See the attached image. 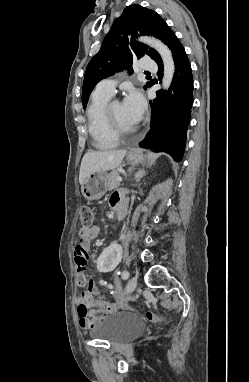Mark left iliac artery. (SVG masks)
I'll return each mask as SVG.
<instances>
[{
	"mask_svg": "<svg viewBox=\"0 0 249 382\" xmlns=\"http://www.w3.org/2000/svg\"><path fill=\"white\" fill-rule=\"evenodd\" d=\"M129 278V272L128 271H123L122 272V279H124V280H126V279H128Z\"/></svg>",
	"mask_w": 249,
	"mask_h": 382,
	"instance_id": "obj_1",
	"label": "left iliac artery"
}]
</instances>
